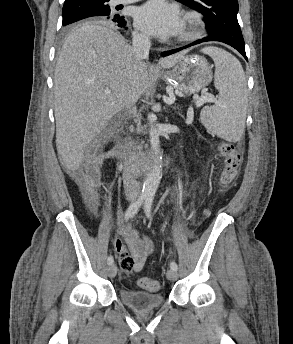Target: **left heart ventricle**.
<instances>
[{"instance_id":"b2bd125f","label":"left heart ventricle","mask_w":293,"mask_h":344,"mask_svg":"<svg viewBox=\"0 0 293 344\" xmlns=\"http://www.w3.org/2000/svg\"><path fill=\"white\" fill-rule=\"evenodd\" d=\"M184 30V25H183V28H182V30H181V32Z\"/></svg>"}]
</instances>
